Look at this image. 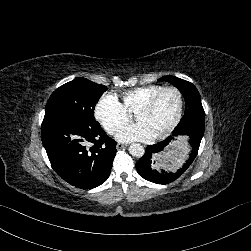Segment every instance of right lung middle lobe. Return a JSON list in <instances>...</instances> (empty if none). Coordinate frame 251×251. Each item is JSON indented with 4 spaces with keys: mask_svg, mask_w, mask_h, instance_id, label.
Wrapping results in <instances>:
<instances>
[{
    "mask_svg": "<svg viewBox=\"0 0 251 251\" xmlns=\"http://www.w3.org/2000/svg\"><path fill=\"white\" fill-rule=\"evenodd\" d=\"M106 90L104 85L86 78H76L52 93L46 104L45 115L65 114L86 121L95 120V105Z\"/></svg>",
    "mask_w": 251,
    "mask_h": 251,
    "instance_id": "dd1d6c3e",
    "label": "right lung middle lobe"
}]
</instances>
